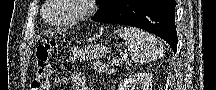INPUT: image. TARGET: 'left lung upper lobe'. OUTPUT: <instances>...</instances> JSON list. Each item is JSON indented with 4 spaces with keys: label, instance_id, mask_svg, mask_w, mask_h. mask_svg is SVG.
I'll list each match as a JSON object with an SVG mask.
<instances>
[{
    "label": "left lung upper lobe",
    "instance_id": "left-lung-upper-lobe-1",
    "mask_svg": "<svg viewBox=\"0 0 216 90\" xmlns=\"http://www.w3.org/2000/svg\"><path fill=\"white\" fill-rule=\"evenodd\" d=\"M121 0H97V3L100 5V9L95 15H98L106 10H109L116 6Z\"/></svg>",
    "mask_w": 216,
    "mask_h": 90
}]
</instances>
